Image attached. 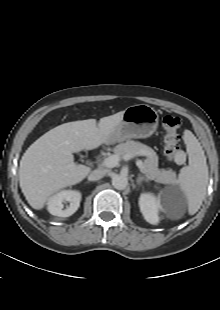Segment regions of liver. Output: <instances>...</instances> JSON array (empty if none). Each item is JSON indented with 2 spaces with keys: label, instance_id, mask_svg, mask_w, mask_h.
<instances>
[{
  "label": "liver",
  "instance_id": "obj_1",
  "mask_svg": "<svg viewBox=\"0 0 220 310\" xmlns=\"http://www.w3.org/2000/svg\"><path fill=\"white\" fill-rule=\"evenodd\" d=\"M123 113L103 117L98 124L95 119L64 123L30 145L20 160L19 183L32 208L42 209L54 193L90 173L89 167L74 163L72 153L110 143Z\"/></svg>",
  "mask_w": 220,
  "mask_h": 310
}]
</instances>
